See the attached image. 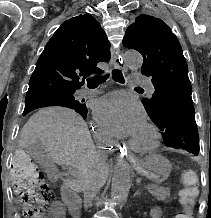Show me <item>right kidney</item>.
<instances>
[{
  "instance_id": "obj_1",
  "label": "right kidney",
  "mask_w": 211,
  "mask_h": 218,
  "mask_svg": "<svg viewBox=\"0 0 211 218\" xmlns=\"http://www.w3.org/2000/svg\"><path fill=\"white\" fill-rule=\"evenodd\" d=\"M63 214H66V209H64V206H50L49 207L50 217L65 218Z\"/></svg>"
}]
</instances>
